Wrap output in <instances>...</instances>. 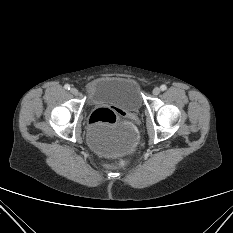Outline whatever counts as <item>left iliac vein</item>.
<instances>
[{"label":"left iliac vein","mask_w":233,"mask_h":233,"mask_svg":"<svg viewBox=\"0 0 233 233\" xmlns=\"http://www.w3.org/2000/svg\"><path fill=\"white\" fill-rule=\"evenodd\" d=\"M159 93H160V88H158V87H155V88L152 90V94H153L154 96H157Z\"/></svg>","instance_id":"4c4485c4"}]
</instances>
